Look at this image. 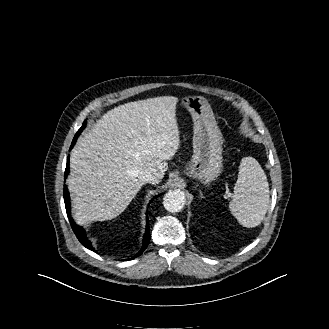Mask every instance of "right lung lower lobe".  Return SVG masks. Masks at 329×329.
I'll list each match as a JSON object with an SVG mask.
<instances>
[{"label": "right lung lower lobe", "mask_w": 329, "mask_h": 329, "mask_svg": "<svg viewBox=\"0 0 329 329\" xmlns=\"http://www.w3.org/2000/svg\"><path fill=\"white\" fill-rule=\"evenodd\" d=\"M73 145H71V148H72ZM68 174H69V157H67V164H66L65 176H64L65 178L64 179L67 178ZM64 202H65V208H66L68 219L70 221L71 227H72L75 235L77 236L78 240L81 242V244L84 247H86V248H88L92 251H95L94 248L92 247L91 242L87 239L85 231L83 230V228L76 225L74 223L73 219L71 218V215H70L71 214L70 213V198H69L68 189L65 186V184H64ZM146 222H147V224H146V232L144 234V239H143V246H142L141 250L136 254L135 257H137V256H139L143 253V251L146 249V247L148 246L149 241H150V230H149L148 217H147Z\"/></svg>", "instance_id": "right-lung-lower-lobe-1"}]
</instances>
